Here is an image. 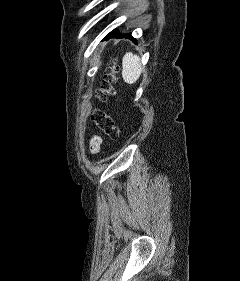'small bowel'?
<instances>
[{"instance_id": "obj_1", "label": "small bowel", "mask_w": 240, "mask_h": 281, "mask_svg": "<svg viewBox=\"0 0 240 281\" xmlns=\"http://www.w3.org/2000/svg\"><path fill=\"white\" fill-rule=\"evenodd\" d=\"M102 144V138L100 136H94L90 143V149L92 153H97L100 150Z\"/></svg>"}]
</instances>
